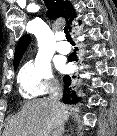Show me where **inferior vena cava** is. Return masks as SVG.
Returning <instances> with one entry per match:
<instances>
[{
	"mask_svg": "<svg viewBox=\"0 0 117 136\" xmlns=\"http://www.w3.org/2000/svg\"><path fill=\"white\" fill-rule=\"evenodd\" d=\"M61 97H62V90L60 88H57L51 95L50 101L52 102L59 101ZM48 136H57L55 135L54 127L51 124L48 125Z\"/></svg>",
	"mask_w": 117,
	"mask_h": 136,
	"instance_id": "obj_1",
	"label": "inferior vena cava"
}]
</instances>
